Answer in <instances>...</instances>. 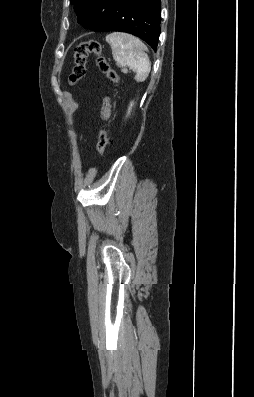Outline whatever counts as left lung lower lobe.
<instances>
[{
	"label": "left lung lower lobe",
	"mask_w": 254,
	"mask_h": 397,
	"mask_svg": "<svg viewBox=\"0 0 254 397\" xmlns=\"http://www.w3.org/2000/svg\"><path fill=\"white\" fill-rule=\"evenodd\" d=\"M95 32L120 31L136 35L155 51L160 35V0H107Z\"/></svg>",
	"instance_id": "0a47b994"
}]
</instances>
